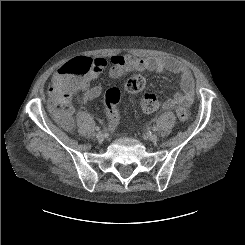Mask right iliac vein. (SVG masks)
I'll return each instance as SVG.
<instances>
[{"mask_svg":"<svg viewBox=\"0 0 245 245\" xmlns=\"http://www.w3.org/2000/svg\"><path fill=\"white\" fill-rule=\"evenodd\" d=\"M96 138L98 139V141H103L104 139V134L102 132H98L96 134Z\"/></svg>","mask_w":245,"mask_h":245,"instance_id":"obj_1","label":"right iliac vein"}]
</instances>
